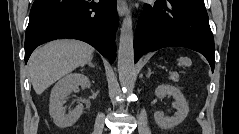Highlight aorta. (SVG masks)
<instances>
[{
  "label": "aorta",
  "mask_w": 239,
  "mask_h": 134,
  "mask_svg": "<svg viewBox=\"0 0 239 134\" xmlns=\"http://www.w3.org/2000/svg\"><path fill=\"white\" fill-rule=\"evenodd\" d=\"M133 26L130 11L124 18L119 38L118 48V73L121 86L131 91L134 79V47H133Z\"/></svg>",
  "instance_id": "1"
}]
</instances>
